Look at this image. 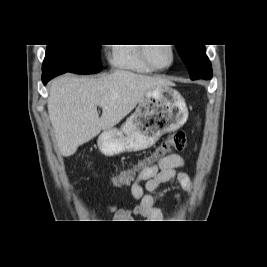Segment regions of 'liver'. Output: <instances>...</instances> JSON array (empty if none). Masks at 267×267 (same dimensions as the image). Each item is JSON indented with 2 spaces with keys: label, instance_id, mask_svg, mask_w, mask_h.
Returning <instances> with one entry per match:
<instances>
[{
  "label": "liver",
  "instance_id": "6515ba94",
  "mask_svg": "<svg viewBox=\"0 0 267 267\" xmlns=\"http://www.w3.org/2000/svg\"><path fill=\"white\" fill-rule=\"evenodd\" d=\"M172 85L167 79L123 70L97 79L72 75L55 79L47 107L61 154L71 156L101 130L112 129L149 90Z\"/></svg>",
  "mask_w": 267,
  "mask_h": 267
}]
</instances>
